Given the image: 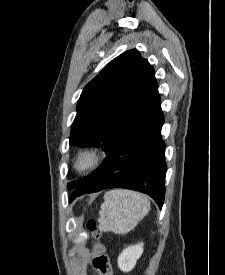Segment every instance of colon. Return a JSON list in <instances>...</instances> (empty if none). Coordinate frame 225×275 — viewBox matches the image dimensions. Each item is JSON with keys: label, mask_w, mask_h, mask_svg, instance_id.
I'll use <instances>...</instances> for the list:
<instances>
[{"label": "colon", "mask_w": 225, "mask_h": 275, "mask_svg": "<svg viewBox=\"0 0 225 275\" xmlns=\"http://www.w3.org/2000/svg\"><path fill=\"white\" fill-rule=\"evenodd\" d=\"M85 228L96 240L94 247V256L92 259V266L98 275H112L113 269L109 256L105 252L104 245L100 242L101 231L98 228V224L94 219H89L85 223Z\"/></svg>", "instance_id": "1"}]
</instances>
